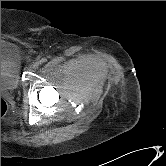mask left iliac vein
<instances>
[{
  "label": "left iliac vein",
  "instance_id": "obj_1",
  "mask_svg": "<svg viewBox=\"0 0 166 166\" xmlns=\"http://www.w3.org/2000/svg\"><path fill=\"white\" fill-rule=\"evenodd\" d=\"M39 66H40V62H35L33 65H32V67H33V69H38L39 68Z\"/></svg>",
  "mask_w": 166,
  "mask_h": 166
}]
</instances>
